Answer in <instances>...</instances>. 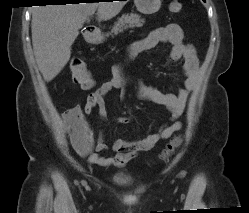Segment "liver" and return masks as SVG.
I'll return each instance as SVG.
<instances>
[{"label": "liver", "instance_id": "1", "mask_svg": "<svg viewBox=\"0 0 249 213\" xmlns=\"http://www.w3.org/2000/svg\"><path fill=\"white\" fill-rule=\"evenodd\" d=\"M124 1L35 6L32 10V45L38 68L46 82L53 80L68 63L71 46L87 17L116 16Z\"/></svg>", "mask_w": 249, "mask_h": 213}]
</instances>
